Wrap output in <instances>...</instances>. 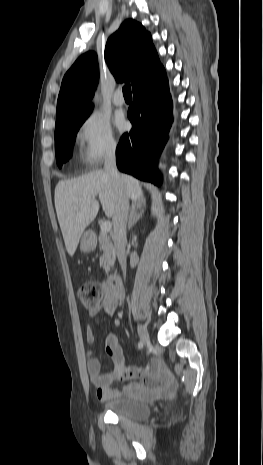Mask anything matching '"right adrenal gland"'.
<instances>
[{"mask_svg": "<svg viewBox=\"0 0 263 465\" xmlns=\"http://www.w3.org/2000/svg\"><path fill=\"white\" fill-rule=\"evenodd\" d=\"M145 205L140 202H132L128 219V230L134 226L144 215Z\"/></svg>", "mask_w": 263, "mask_h": 465, "instance_id": "1", "label": "right adrenal gland"}]
</instances>
